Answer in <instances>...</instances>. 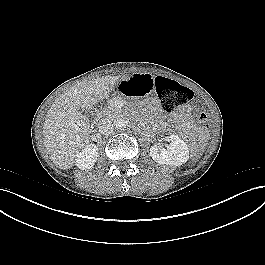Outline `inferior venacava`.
Listing matches in <instances>:
<instances>
[{
    "instance_id": "602c4592",
    "label": "inferior vena cava",
    "mask_w": 265,
    "mask_h": 265,
    "mask_svg": "<svg viewBox=\"0 0 265 265\" xmlns=\"http://www.w3.org/2000/svg\"><path fill=\"white\" fill-rule=\"evenodd\" d=\"M114 131L113 123L110 120H102L99 125V132L103 135H110Z\"/></svg>"
}]
</instances>
